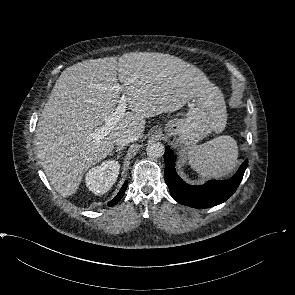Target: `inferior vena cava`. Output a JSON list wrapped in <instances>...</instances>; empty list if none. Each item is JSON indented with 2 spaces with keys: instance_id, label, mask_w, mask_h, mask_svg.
Masks as SVG:
<instances>
[{
  "instance_id": "obj_1",
  "label": "inferior vena cava",
  "mask_w": 295,
  "mask_h": 295,
  "mask_svg": "<svg viewBox=\"0 0 295 295\" xmlns=\"http://www.w3.org/2000/svg\"><path fill=\"white\" fill-rule=\"evenodd\" d=\"M139 136L133 132L121 134L115 139V144L118 146H125L131 142L138 140Z\"/></svg>"
}]
</instances>
